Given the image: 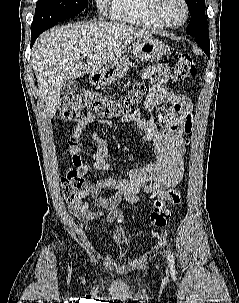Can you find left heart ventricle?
<instances>
[{
    "label": "left heart ventricle",
    "instance_id": "1",
    "mask_svg": "<svg viewBox=\"0 0 239 303\" xmlns=\"http://www.w3.org/2000/svg\"><path fill=\"white\" fill-rule=\"evenodd\" d=\"M161 13L166 21L179 24L184 19V8L180 0H164Z\"/></svg>",
    "mask_w": 239,
    "mask_h": 303
}]
</instances>
